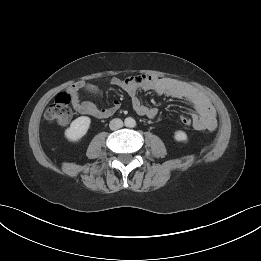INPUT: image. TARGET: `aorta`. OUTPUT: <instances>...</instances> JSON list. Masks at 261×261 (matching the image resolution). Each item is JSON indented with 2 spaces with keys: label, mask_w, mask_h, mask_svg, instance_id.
Here are the masks:
<instances>
[{
  "label": "aorta",
  "mask_w": 261,
  "mask_h": 261,
  "mask_svg": "<svg viewBox=\"0 0 261 261\" xmlns=\"http://www.w3.org/2000/svg\"><path fill=\"white\" fill-rule=\"evenodd\" d=\"M125 125L127 127H134L135 120L133 118H131V117H128V118L125 119Z\"/></svg>",
  "instance_id": "762f6f07"
}]
</instances>
